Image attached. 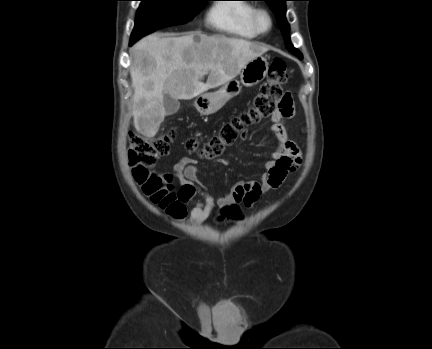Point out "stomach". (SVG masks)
<instances>
[{
	"label": "stomach",
	"instance_id": "obj_1",
	"mask_svg": "<svg viewBox=\"0 0 432 349\" xmlns=\"http://www.w3.org/2000/svg\"><path fill=\"white\" fill-rule=\"evenodd\" d=\"M269 63L265 57L258 56L248 62L240 72V82L246 87L260 83L267 75ZM240 82L231 80L219 90L198 96L194 106L201 115L216 113L228 100L239 94Z\"/></svg>",
	"mask_w": 432,
	"mask_h": 349
}]
</instances>
